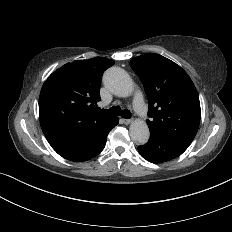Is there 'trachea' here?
I'll return each instance as SVG.
<instances>
[{
  "instance_id": "3493384b",
  "label": "trachea",
  "mask_w": 232,
  "mask_h": 232,
  "mask_svg": "<svg viewBox=\"0 0 232 232\" xmlns=\"http://www.w3.org/2000/svg\"><path fill=\"white\" fill-rule=\"evenodd\" d=\"M102 111L107 112L111 115H115V116L121 115L125 119H130L132 116V114L129 110H127V109L121 110V108L118 106H113L109 109H102Z\"/></svg>"
}]
</instances>
